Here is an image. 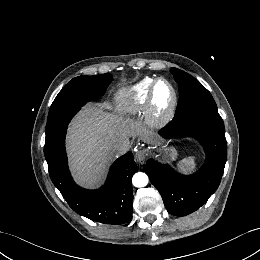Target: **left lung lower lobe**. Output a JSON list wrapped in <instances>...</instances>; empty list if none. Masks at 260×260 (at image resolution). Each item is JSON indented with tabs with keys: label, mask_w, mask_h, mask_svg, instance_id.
Wrapping results in <instances>:
<instances>
[{
	"label": "left lung lower lobe",
	"mask_w": 260,
	"mask_h": 260,
	"mask_svg": "<svg viewBox=\"0 0 260 260\" xmlns=\"http://www.w3.org/2000/svg\"><path fill=\"white\" fill-rule=\"evenodd\" d=\"M160 134L165 138L194 136L206 152L205 165L191 176L180 175L152 159L144 166L167 211L185 216L201 207L220 184L227 159L224 123L217 109H196L174 118Z\"/></svg>",
	"instance_id": "left-lung-lower-lobe-1"
}]
</instances>
